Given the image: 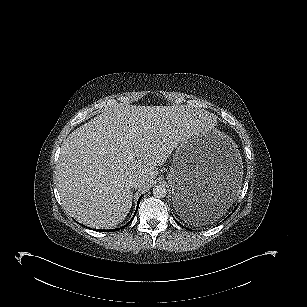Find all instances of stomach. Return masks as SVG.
<instances>
[{"label": "stomach", "mask_w": 307, "mask_h": 307, "mask_svg": "<svg viewBox=\"0 0 307 307\" xmlns=\"http://www.w3.org/2000/svg\"><path fill=\"white\" fill-rule=\"evenodd\" d=\"M242 178V157L234 141L216 129L201 128L178 145L167 181L176 212L188 222L199 212L229 208Z\"/></svg>", "instance_id": "obj_1"}]
</instances>
